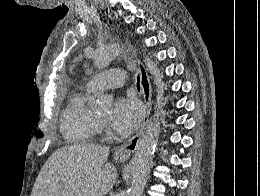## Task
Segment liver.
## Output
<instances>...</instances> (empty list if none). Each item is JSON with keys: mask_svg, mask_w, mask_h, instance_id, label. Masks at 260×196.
I'll use <instances>...</instances> for the list:
<instances>
[{"mask_svg": "<svg viewBox=\"0 0 260 196\" xmlns=\"http://www.w3.org/2000/svg\"><path fill=\"white\" fill-rule=\"evenodd\" d=\"M107 146H64L45 162L31 196H106L118 174Z\"/></svg>", "mask_w": 260, "mask_h": 196, "instance_id": "1", "label": "liver"}]
</instances>
